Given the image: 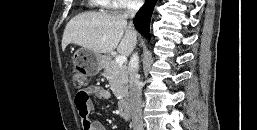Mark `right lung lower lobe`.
<instances>
[{
	"label": "right lung lower lobe",
	"mask_w": 257,
	"mask_h": 130,
	"mask_svg": "<svg viewBox=\"0 0 257 130\" xmlns=\"http://www.w3.org/2000/svg\"><path fill=\"white\" fill-rule=\"evenodd\" d=\"M157 0H149L144 6L139 10L134 18V24L136 29L146 38L150 39L149 34V24L150 18L153 12V8L156 4Z\"/></svg>",
	"instance_id": "98d812e1"
}]
</instances>
